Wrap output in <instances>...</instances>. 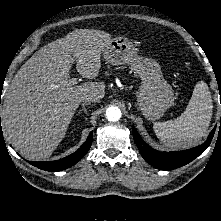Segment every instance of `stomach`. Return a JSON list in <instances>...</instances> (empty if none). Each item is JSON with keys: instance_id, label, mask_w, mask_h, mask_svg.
Listing matches in <instances>:
<instances>
[{"instance_id": "0dacf381", "label": "stomach", "mask_w": 221, "mask_h": 221, "mask_svg": "<svg viewBox=\"0 0 221 221\" xmlns=\"http://www.w3.org/2000/svg\"><path fill=\"white\" fill-rule=\"evenodd\" d=\"M102 52L106 63L127 64L135 77L140 79L136 106L146 119L157 121L175 106L177 96L165 80L160 64L155 59L140 55L133 42L125 37H118Z\"/></svg>"}]
</instances>
